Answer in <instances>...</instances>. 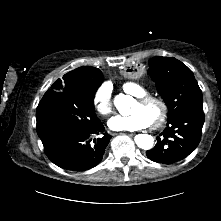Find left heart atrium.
Returning <instances> with one entry per match:
<instances>
[{"label":"left heart atrium","instance_id":"left-heart-atrium-1","mask_svg":"<svg viewBox=\"0 0 221 221\" xmlns=\"http://www.w3.org/2000/svg\"><path fill=\"white\" fill-rule=\"evenodd\" d=\"M150 125L147 117L141 112H134L128 116H115L108 122L113 131H135L147 128Z\"/></svg>","mask_w":221,"mask_h":221}]
</instances>
